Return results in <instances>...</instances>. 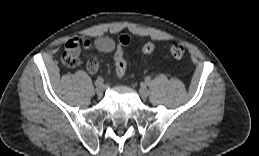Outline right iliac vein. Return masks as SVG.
<instances>
[{
  "mask_svg": "<svg viewBox=\"0 0 259 156\" xmlns=\"http://www.w3.org/2000/svg\"><path fill=\"white\" fill-rule=\"evenodd\" d=\"M104 86L103 85H100V86H97L96 89H95V92L98 96H102L103 95V92H104Z\"/></svg>",
  "mask_w": 259,
  "mask_h": 156,
  "instance_id": "right-iliac-vein-1",
  "label": "right iliac vein"
}]
</instances>
